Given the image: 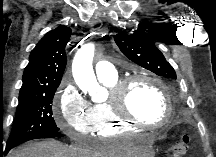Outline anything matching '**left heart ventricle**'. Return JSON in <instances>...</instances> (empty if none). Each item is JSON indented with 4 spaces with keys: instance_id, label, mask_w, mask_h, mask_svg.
<instances>
[{
    "instance_id": "1",
    "label": "left heart ventricle",
    "mask_w": 216,
    "mask_h": 157,
    "mask_svg": "<svg viewBox=\"0 0 216 157\" xmlns=\"http://www.w3.org/2000/svg\"><path fill=\"white\" fill-rule=\"evenodd\" d=\"M129 109L140 120L159 123L166 114L165 101L160 90L152 83L140 80L130 88Z\"/></svg>"
}]
</instances>
